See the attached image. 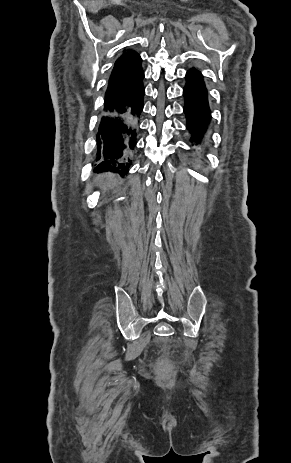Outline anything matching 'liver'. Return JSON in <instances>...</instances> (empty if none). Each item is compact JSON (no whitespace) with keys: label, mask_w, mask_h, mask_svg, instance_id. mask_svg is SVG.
<instances>
[{"label":"liver","mask_w":291,"mask_h":463,"mask_svg":"<svg viewBox=\"0 0 291 463\" xmlns=\"http://www.w3.org/2000/svg\"><path fill=\"white\" fill-rule=\"evenodd\" d=\"M101 178H102V180H104L105 178L107 180L104 189H107L108 187H111V186L118 183V179L116 177H114V175L111 174V173H106V174L102 175Z\"/></svg>","instance_id":"6515ba94"}]
</instances>
